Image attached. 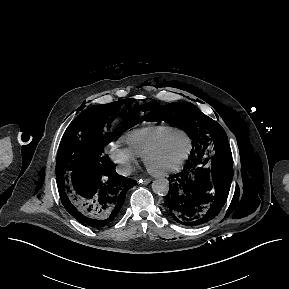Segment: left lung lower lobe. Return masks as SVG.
<instances>
[{"label":"left lung lower lobe","mask_w":289,"mask_h":289,"mask_svg":"<svg viewBox=\"0 0 289 289\" xmlns=\"http://www.w3.org/2000/svg\"><path fill=\"white\" fill-rule=\"evenodd\" d=\"M232 177V166L219 168L207 158H189L184 170L170 177L168 213L185 226L210 221L224 206Z\"/></svg>","instance_id":"1"}]
</instances>
